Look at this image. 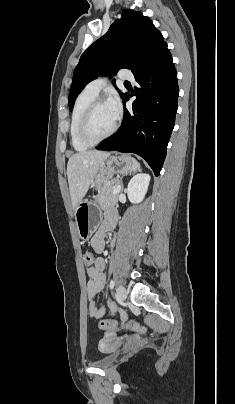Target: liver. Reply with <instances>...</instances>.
Instances as JSON below:
<instances>
[{
    "instance_id": "obj_1",
    "label": "liver",
    "mask_w": 235,
    "mask_h": 404,
    "mask_svg": "<svg viewBox=\"0 0 235 404\" xmlns=\"http://www.w3.org/2000/svg\"><path fill=\"white\" fill-rule=\"evenodd\" d=\"M109 155L108 152L91 150L73 154L69 158L67 178L74 210L82 202L99 168Z\"/></svg>"
}]
</instances>
